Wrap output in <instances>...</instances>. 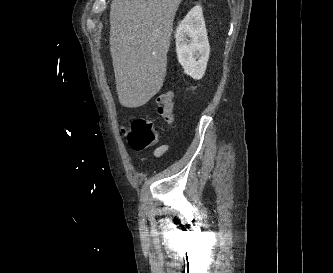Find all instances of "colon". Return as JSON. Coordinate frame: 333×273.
I'll use <instances>...</instances> for the list:
<instances>
[{
	"instance_id": "5ec220e1",
	"label": "colon",
	"mask_w": 333,
	"mask_h": 273,
	"mask_svg": "<svg viewBox=\"0 0 333 273\" xmlns=\"http://www.w3.org/2000/svg\"><path fill=\"white\" fill-rule=\"evenodd\" d=\"M158 115L165 121L171 122L173 119L174 101L170 92L160 94L156 100ZM130 146L137 151L144 150L152 146L158 137V128L152 120L137 118L131 121L129 126L123 129Z\"/></svg>"
}]
</instances>
